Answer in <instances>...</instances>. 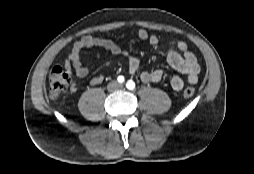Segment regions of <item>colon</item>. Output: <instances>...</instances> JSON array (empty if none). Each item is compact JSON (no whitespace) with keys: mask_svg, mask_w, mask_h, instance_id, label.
<instances>
[{"mask_svg":"<svg viewBox=\"0 0 254 174\" xmlns=\"http://www.w3.org/2000/svg\"><path fill=\"white\" fill-rule=\"evenodd\" d=\"M71 72L60 65L55 66L49 75V96L57 99L65 93L70 87ZM183 94L187 98H191L195 94L192 87L184 89Z\"/></svg>","mask_w":254,"mask_h":174,"instance_id":"obj_1","label":"colon"}]
</instances>
